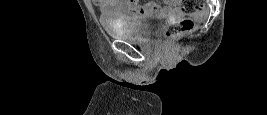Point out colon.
<instances>
[{
	"mask_svg": "<svg viewBox=\"0 0 267 115\" xmlns=\"http://www.w3.org/2000/svg\"><path fill=\"white\" fill-rule=\"evenodd\" d=\"M202 7L200 0H183L182 9L185 13H192L200 10ZM195 28V23L190 18L182 19L181 21L167 26L161 35V39L165 42H171L179 37L191 33Z\"/></svg>",
	"mask_w": 267,
	"mask_h": 115,
	"instance_id": "colon-1",
	"label": "colon"
}]
</instances>
